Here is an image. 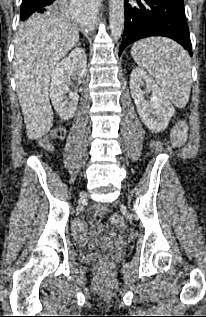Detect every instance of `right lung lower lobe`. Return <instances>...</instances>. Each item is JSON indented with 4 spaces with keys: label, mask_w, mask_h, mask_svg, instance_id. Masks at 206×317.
<instances>
[{
    "label": "right lung lower lobe",
    "mask_w": 206,
    "mask_h": 317,
    "mask_svg": "<svg viewBox=\"0 0 206 317\" xmlns=\"http://www.w3.org/2000/svg\"><path fill=\"white\" fill-rule=\"evenodd\" d=\"M57 2L58 0H29V3H31V5L38 8L36 13H43L45 11H48Z\"/></svg>",
    "instance_id": "right-lung-lower-lobe-1"
}]
</instances>
